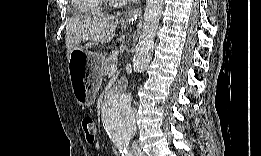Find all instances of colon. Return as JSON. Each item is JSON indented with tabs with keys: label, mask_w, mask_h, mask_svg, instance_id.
Masks as SVG:
<instances>
[{
	"label": "colon",
	"mask_w": 261,
	"mask_h": 156,
	"mask_svg": "<svg viewBox=\"0 0 261 156\" xmlns=\"http://www.w3.org/2000/svg\"><path fill=\"white\" fill-rule=\"evenodd\" d=\"M81 128L88 144H93L96 140L97 128L94 119L85 115L81 118Z\"/></svg>",
	"instance_id": "obj_1"
}]
</instances>
